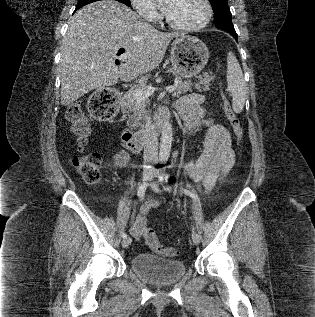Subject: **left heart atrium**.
<instances>
[{"instance_id":"left-heart-atrium-1","label":"left heart atrium","mask_w":315,"mask_h":317,"mask_svg":"<svg viewBox=\"0 0 315 317\" xmlns=\"http://www.w3.org/2000/svg\"><path fill=\"white\" fill-rule=\"evenodd\" d=\"M164 10L166 11V10H167V8L165 7V8H164Z\"/></svg>"}]
</instances>
